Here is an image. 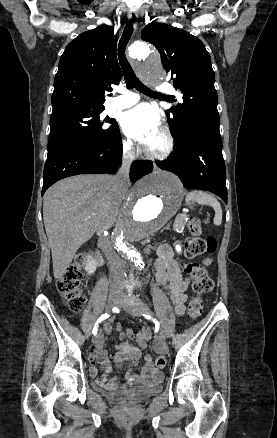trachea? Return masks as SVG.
Listing matches in <instances>:
<instances>
[{
  "instance_id": "trachea-1",
  "label": "trachea",
  "mask_w": 277,
  "mask_h": 438,
  "mask_svg": "<svg viewBox=\"0 0 277 438\" xmlns=\"http://www.w3.org/2000/svg\"><path fill=\"white\" fill-rule=\"evenodd\" d=\"M132 34L133 24L131 21H128L118 45V59L121 65L126 86L128 89L136 88V90L145 95H162L159 94V92H153V90H150V88L146 87L142 82H140L126 58L125 50Z\"/></svg>"
}]
</instances>
